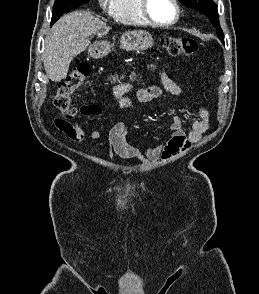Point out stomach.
Wrapping results in <instances>:
<instances>
[{"mask_svg":"<svg viewBox=\"0 0 259 294\" xmlns=\"http://www.w3.org/2000/svg\"><path fill=\"white\" fill-rule=\"evenodd\" d=\"M120 44L126 51H143L153 46V38L146 31H129L121 36ZM109 48L107 41H101L91 45L89 53L94 58H100L108 53Z\"/></svg>","mask_w":259,"mask_h":294,"instance_id":"0dacf381","label":"stomach"}]
</instances>
